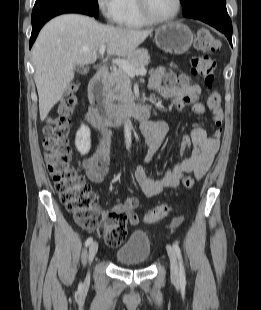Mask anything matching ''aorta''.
<instances>
[{"label": "aorta", "mask_w": 261, "mask_h": 310, "mask_svg": "<svg viewBox=\"0 0 261 310\" xmlns=\"http://www.w3.org/2000/svg\"><path fill=\"white\" fill-rule=\"evenodd\" d=\"M124 138H125L126 148L129 150L131 147V143H132L131 126H130L129 120H127L124 124Z\"/></svg>", "instance_id": "obj_1"}]
</instances>
